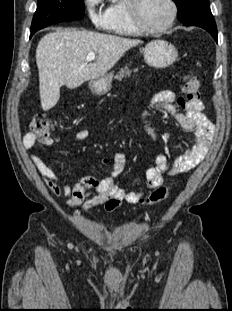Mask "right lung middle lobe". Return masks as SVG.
<instances>
[{"label": "right lung middle lobe", "mask_w": 232, "mask_h": 311, "mask_svg": "<svg viewBox=\"0 0 232 311\" xmlns=\"http://www.w3.org/2000/svg\"><path fill=\"white\" fill-rule=\"evenodd\" d=\"M84 16V0H38L31 31L62 21L79 20Z\"/></svg>", "instance_id": "dd1d6c3e"}]
</instances>
